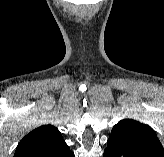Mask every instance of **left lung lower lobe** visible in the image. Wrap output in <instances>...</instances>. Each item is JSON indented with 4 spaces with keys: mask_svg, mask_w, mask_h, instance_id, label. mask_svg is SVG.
Masks as SVG:
<instances>
[{
    "mask_svg": "<svg viewBox=\"0 0 164 157\" xmlns=\"http://www.w3.org/2000/svg\"><path fill=\"white\" fill-rule=\"evenodd\" d=\"M103 157H148L142 152L127 145L108 139Z\"/></svg>",
    "mask_w": 164,
    "mask_h": 157,
    "instance_id": "0a47b994",
    "label": "left lung lower lobe"
}]
</instances>
